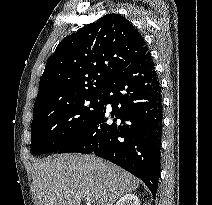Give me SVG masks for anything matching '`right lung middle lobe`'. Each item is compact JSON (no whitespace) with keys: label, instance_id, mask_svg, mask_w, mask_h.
Segmentation results:
<instances>
[{"label":"right lung middle lobe","instance_id":"dd1d6c3e","mask_svg":"<svg viewBox=\"0 0 212 205\" xmlns=\"http://www.w3.org/2000/svg\"><path fill=\"white\" fill-rule=\"evenodd\" d=\"M102 93L34 113L31 150L34 154L56 152L82 132L102 111Z\"/></svg>","mask_w":212,"mask_h":205}]
</instances>
